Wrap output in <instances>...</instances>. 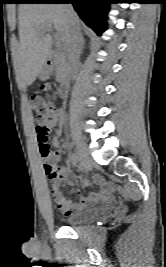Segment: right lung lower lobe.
I'll return each mask as SVG.
<instances>
[{
  "instance_id": "1",
  "label": "right lung lower lobe",
  "mask_w": 166,
  "mask_h": 267,
  "mask_svg": "<svg viewBox=\"0 0 166 267\" xmlns=\"http://www.w3.org/2000/svg\"><path fill=\"white\" fill-rule=\"evenodd\" d=\"M110 0H30L20 3H72L81 19L98 35L106 30Z\"/></svg>"
}]
</instances>
